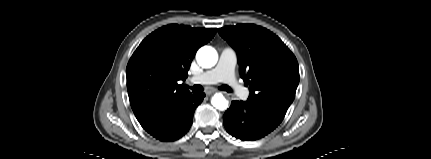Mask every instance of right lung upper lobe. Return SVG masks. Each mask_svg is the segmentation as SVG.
Listing matches in <instances>:
<instances>
[{
    "label": "right lung upper lobe",
    "mask_w": 431,
    "mask_h": 159,
    "mask_svg": "<svg viewBox=\"0 0 431 159\" xmlns=\"http://www.w3.org/2000/svg\"><path fill=\"white\" fill-rule=\"evenodd\" d=\"M216 30L171 24L152 32L135 50L126 68L127 90L143 128L190 94L178 81L187 78L197 50Z\"/></svg>",
    "instance_id": "obj_1"
}]
</instances>
